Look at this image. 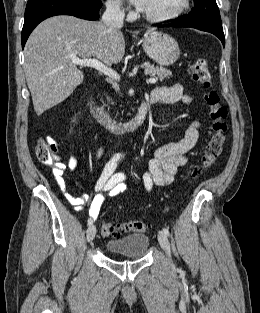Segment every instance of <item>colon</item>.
Segmentation results:
<instances>
[{
  "label": "colon",
  "instance_id": "5ec220e1",
  "mask_svg": "<svg viewBox=\"0 0 260 313\" xmlns=\"http://www.w3.org/2000/svg\"><path fill=\"white\" fill-rule=\"evenodd\" d=\"M189 71L196 82L207 89L211 87V73L209 64L205 59L196 60ZM205 101L209 108L211 135L205 146L201 163L190 172L192 179L197 178L202 171L211 168L215 164L221 154L227 130V109L220 103L218 93L210 89L205 95ZM36 154L43 164L56 165V142L51 138H41L36 148ZM148 227V224L141 220H129L122 223L103 222L100 226V232L104 237H119L126 233L145 232Z\"/></svg>",
  "mask_w": 260,
  "mask_h": 313
}]
</instances>
